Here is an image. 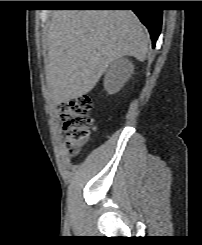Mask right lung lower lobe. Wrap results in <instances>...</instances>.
Instances as JSON below:
<instances>
[{
    "mask_svg": "<svg viewBox=\"0 0 202 245\" xmlns=\"http://www.w3.org/2000/svg\"><path fill=\"white\" fill-rule=\"evenodd\" d=\"M145 1H134V13L139 17L140 21L148 28L152 39V47H155L156 40L161 31L162 10L145 7ZM83 6L108 7V6H124L121 3H83Z\"/></svg>",
    "mask_w": 202,
    "mask_h": 245,
    "instance_id": "right-lung-lower-lobe-1",
    "label": "right lung lower lobe"
}]
</instances>
